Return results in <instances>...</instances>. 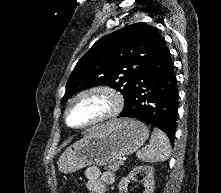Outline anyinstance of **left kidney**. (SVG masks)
Here are the masks:
<instances>
[{
    "label": "left kidney",
    "instance_id": "obj_1",
    "mask_svg": "<svg viewBox=\"0 0 221 193\" xmlns=\"http://www.w3.org/2000/svg\"><path fill=\"white\" fill-rule=\"evenodd\" d=\"M145 174L146 177L144 179V187H145V191L143 193H153V189H154V169L151 166H137L135 168H133V170H131V172L129 173V175L125 178H123L120 182H119V190L122 193L123 190H125L128 186L129 180L132 179L134 176H136L137 174Z\"/></svg>",
    "mask_w": 221,
    "mask_h": 193
}]
</instances>
